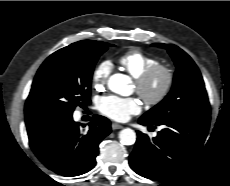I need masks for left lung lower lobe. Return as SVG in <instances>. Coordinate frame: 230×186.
Listing matches in <instances>:
<instances>
[{
  "instance_id": "1",
  "label": "left lung lower lobe",
  "mask_w": 230,
  "mask_h": 186,
  "mask_svg": "<svg viewBox=\"0 0 230 186\" xmlns=\"http://www.w3.org/2000/svg\"><path fill=\"white\" fill-rule=\"evenodd\" d=\"M139 123L154 125L147 120ZM210 116H186L163 124L165 128L150 139L137 131L135 149L129 164L137 174L154 180H166L187 166L202 147L208 133Z\"/></svg>"
}]
</instances>
